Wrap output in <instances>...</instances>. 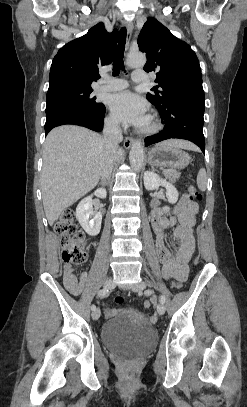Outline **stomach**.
Listing matches in <instances>:
<instances>
[{"label": "stomach", "instance_id": "0dacf381", "mask_svg": "<svg viewBox=\"0 0 247 407\" xmlns=\"http://www.w3.org/2000/svg\"><path fill=\"white\" fill-rule=\"evenodd\" d=\"M190 159V155L181 148L164 142L157 144L148 152V163L152 166L184 169Z\"/></svg>", "mask_w": 247, "mask_h": 407}]
</instances>
